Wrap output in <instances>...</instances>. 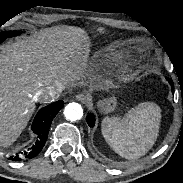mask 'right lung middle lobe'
<instances>
[{
  "label": "right lung middle lobe",
  "mask_w": 183,
  "mask_h": 183,
  "mask_svg": "<svg viewBox=\"0 0 183 183\" xmlns=\"http://www.w3.org/2000/svg\"><path fill=\"white\" fill-rule=\"evenodd\" d=\"M19 34L17 31H10V32H2L0 33V43L4 41L8 37H13L15 35Z\"/></svg>",
  "instance_id": "1"
}]
</instances>
